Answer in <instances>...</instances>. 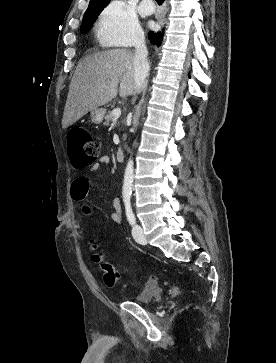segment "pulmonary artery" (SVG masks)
I'll use <instances>...</instances> for the list:
<instances>
[{
	"instance_id": "pulmonary-artery-1",
	"label": "pulmonary artery",
	"mask_w": 276,
	"mask_h": 363,
	"mask_svg": "<svg viewBox=\"0 0 276 363\" xmlns=\"http://www.w3.org/2000/svg\"><path fill=\"white\" fill-rule=\"evenodd\" d=\"M141 10L144 14H152L154 12V6L152 3L149 2V0H143L141 2Z\"/></svg>"
}]
</instances>
